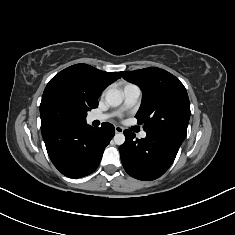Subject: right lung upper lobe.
I'll return each instance as SVG.
<instances>
[{
	"label": "right lung upper lobe",
	"instance_id": "1",
	"mask_svg": "<svg viewBox=\"0 0 235 235\" xmlns=\"http://www.w3.org/2000/svg\"><path fill=\"white\" fill-rule=\"evenodd\" d=\"M119 78L117 72H104L87 64H75L55 75L46 88L60 86L90 110L98 107L97 99L102 91Z\"/></svg>",
	"mask_w": 235,
	"mask_h": 235
}]
</instances>
